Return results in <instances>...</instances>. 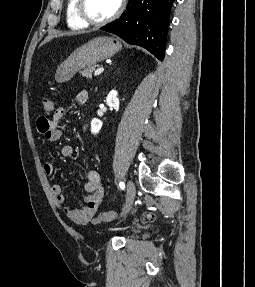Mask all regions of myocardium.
I'll use <instances>...</instances> for the list:
<instances>
[{
	"label": "myocardium",
	"instance_id": "1",
	"mask_svg": "<svg viewBox=\"0 0 255 287\" xmlns=\"http://www.w3.org/2000/svg\"><path fill=\"white\" fill-rule=\"evenodd\" d=\"M91 23H94L93 21ZM94 33V32H89ZM88 39H96V38H88ZM109 39H124V38H109ZM129 48H144V47H129Z\"/></svg>",
	"mask_w": 255,
	"mask_h": 287
}]
</instances>
